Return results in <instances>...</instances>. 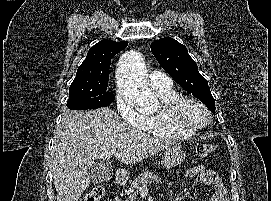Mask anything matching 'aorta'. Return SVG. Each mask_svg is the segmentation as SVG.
<instances>
[{
	"label": "aorta",
	"mask_w": 271,
	"mask_h": 201,
	"mask_svg": "<svg viewBox=\"0 0 271 201\" xmlns=\"http://www.w3.org/2000/svg\"><path fill=\"white\" fill-rule=\"evenodd\" d=\"M117 78L125 94L134 104L145 108H156L157 97L149 88L147 70L141 54L130 50L118 61Z\"/></svg>",
	"instance_id": "obj_1"
}]
</instances>
